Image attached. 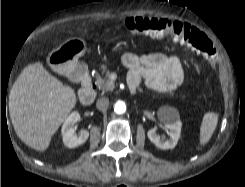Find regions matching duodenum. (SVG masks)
Masks as SVG:
<instances>
[{
    "label": "duodenum",
    "mask_w": 245,
    "mask_h": 187,
    "mask_svg": "<svg viewBox=\"0 0 245 187\" xmlns=\"http://www.w3.org/2000/svg\"><path fill=\"white\" fill-rule=\"evenodd\" d=\"M72 75L74 79L81 81L83 85V87L78 92L79 101L85 105L92 103L98 93V89L92 82L86 67L83 64H79L73 70ZM132 91L134 92L136 89Z\"/></svg>",
    "instance_id": "1"
}]
</instances>
